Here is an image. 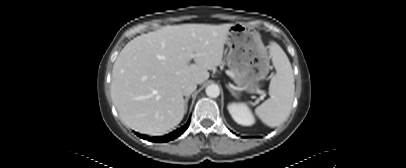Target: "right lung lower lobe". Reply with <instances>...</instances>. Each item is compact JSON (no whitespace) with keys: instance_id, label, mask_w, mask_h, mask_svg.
<instances>
[{"instance_id":"right-lung-lower-lobe-1","label":"right lung lower lobe","mask_w":406,"mask_h":168,"mask_svg":"<svg viewBox=\"0 0 406 168\" xmlns=\"http://www.w3.org/2000/svg\"><path fill=\"white\" fill-rule=\"evenodd\" d=\"M189 123H190V119H189L188 122H187L184 126H182L181 128H178L177 130H175V131H173V132H171L170 134H167V135H165V136L154 137L153 141H154V142H168V141L174 140V139H176L177 137H179L181 134H183V133L185 132V130H186V129L188 128V126H189ZM136 134H137L140 138H143V139H145V140L148 139V137L145 136V135H140V134H138V133H136Z\"/></svg>"}]
</instances>
